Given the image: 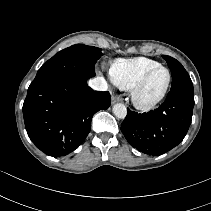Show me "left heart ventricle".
Returning a JSON list of instances; mask_svg holds the SVG:
<instances>
[{
	"mask_svg": "<svg viewBox=\"0 0 211 211\" xmlns=\"http://www.w3.org/2000/svg\"><path fill=\"white\" fill-rule=\"evenodd\" d=\"M167 72L163 69L155 71L148 79L143 92L142 98L144 100H152L157 97L163 90L167 82Z\"/></svg>",
	"mask_w": 211,
	"mask_h": 211,
	"instance_id": "1",
	"label": "left heart ventricle"
}]
</instances>
